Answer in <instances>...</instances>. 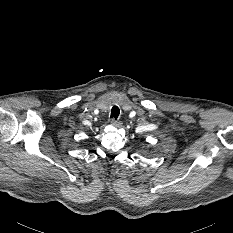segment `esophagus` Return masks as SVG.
<instances>
[{
	"label": "esophagus",
	"instance_id": "obj_1",
	"mask_svg": "<svg viewBox=\"0 0 233 233\" xmlns=\"http://www.w3.org/2000/svg\"><path fill=\"white\" fill-rule=\"evenodd\" d=\"M110 123H111L112 126H115V127H118V128L122 126V122L117 121L115 119H111Z\"/></svg>",
	"mask_w": 233,
	"mask_h": 233
}]
</instances>
